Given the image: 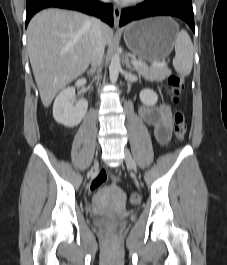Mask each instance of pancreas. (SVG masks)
Returning <instances> with one entry per match:
<instances>
[{"instance_id":"obj_1","label":"pancreas","mask_w":227,"mask_h":265,"mask_svg":"<svg viewBox=\"0 0 227 265\" xmlns=\"http://www.w3.org/2000/svg\"><path fill=\"white\" fill-rule=\"evenodd\" d=\"M135 69L139 75H142L144 78L149 80L163 81L166 77L171 75V71L167 68V66L153 67L147 66L144 63L142 66H136Z\"/></svg>"}]
</instances>
